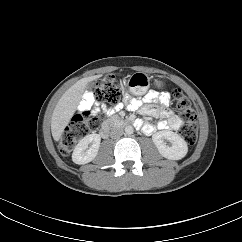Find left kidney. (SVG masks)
Here are the masks:
<instances>
[{"mask_svg": "<svg viewBox=\"0 0 242 242\" xmlns=\"http://www.w3.org/2000/svg\"><path fill=\"white\" fill-rule=\"evenodd\" d=\"M152 140L159 153L170 160H180L186 156L188 146L186 141L177 133L169 130L159 131L153 134ZM165 140L171 145H167Z\"/></svg>", "mask_w": 242, "mask_h": 242, "instance_id": "left-kidney-1", "label": "left kidney"}]
</instances>
